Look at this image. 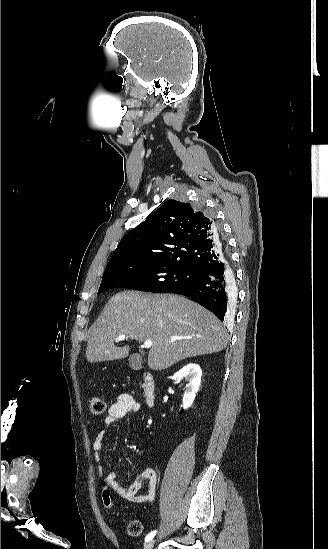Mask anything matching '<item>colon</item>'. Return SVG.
Here are the masks:
<instances>
[{"label": "colon", "instance_id": "1", "mask_svg": "<svg viewBox=\"0 0 328 549\" xmlns=\"http://www.w3.org/2000/svg\"><path fill=\"white\" fill-rule=\"evenodd\" d=\"M89 410L92 415H101L106 410V403L100 396L93 395L89 398ZM101 499L104 509L112 510L114 508L111 493L107 487L103 488ZM142 528L140 520H132L128 524V533L132 536H139L142 533Z\"/></svg>", "mask_w": 328, "mask_h": 549}]
</instances>
